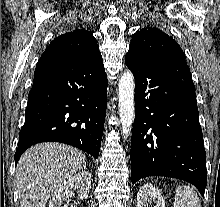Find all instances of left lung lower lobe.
Returning <instances> with one entry per match:
<instances>
[{
    "mask_svg": "<svg viewBox=\"0 0 220 207\" xmlns=\"http://www.w3.org/2000/svg\"><path fill=\"white\" fill-rule=\"evenodd\" d=\"M125 63L135 78L132 183L147 176L173 177L192 183L204 197L206 153L188 65L130 51Z\"/></svg>",
    "mask_w": 220,
    "mask_h": 207,
    "instance_id": "obj_1",
    "label": "left lung lower lobe"
}]
</instances>
